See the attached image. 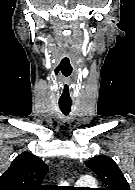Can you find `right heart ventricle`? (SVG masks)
Masks as SVG:
<instances>
[{
	"label": "right heart ventricle",
	"instance_id": "1",
	"mask_svg": "<svg viewBox=\"0 0 135 190\" xmlns=\"http://www.w3.org/2000/svg\"><path fill=\"white\" fill-rule=\"evenodd\" d=\"M78 187H86V186H93L94 183L92 181L88 182V183H77L76 184Z\"/></svg>",
	"mask_w": 135,
	"mask_h": 190
}]
</instances>
